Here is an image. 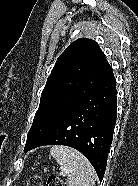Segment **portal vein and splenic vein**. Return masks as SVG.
Masks as SVG:
<instances>
[{
  "instance_id": "1",
  "label": "portal vein and splenic vein",
  "mask_w": 138,
  "mask_h": 186,
  "mask_svg": "<svg viewBox=\"0 0 138 186\" xmlns=\"http://www.w3.org/2000/svg\"><path fill=\"white\" fill-rule=\"evenodd\" d=\"M67 173H68L67 170L62 169L61 172H60V175L65 176Z\"/></svg>"
}]
</instances>
